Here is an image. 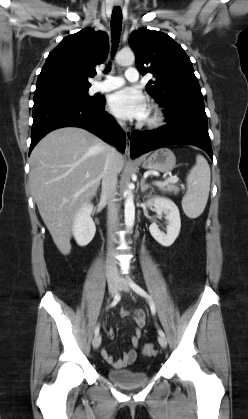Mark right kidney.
Here are the masks:
<instances>
[{"instance_id":"right-kidney-1","label":"right kidney","mask_w":248,"mask_h":419,"mask_svg":"<svg viewBox=\"0 0 248 419\" xmlns=\"http://www.w3.org/2000/svg\"><path fill=\"white\" fill-rule=\"evenodd\" d=\"M93 205L84 203L77 211L73 221V235L79 246H86L94 238L96 226L91 218Z\"/></svg>"}]
</instances>
